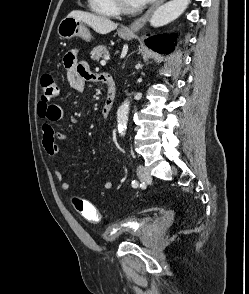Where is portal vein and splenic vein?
Listing matches in <instances>:
<instances>
[{
  "instance_id": "1",
  "label": "portal vein and splenic vein",
  "mask_w": 249,
  "mask_h": 294,
  "mask_svg": "<svg viewBox=\"0 0 249 294\" xmlns=\"http://www.w3.org/2000/svg\"><path fill=\"white\" fill-rule=\"evenodd\" d=\"M107 59H109V58H105L104 60H102V61L100 62V64H101L102 66L106 65V60H107Z\"/></svg>"
}]
</instances>
